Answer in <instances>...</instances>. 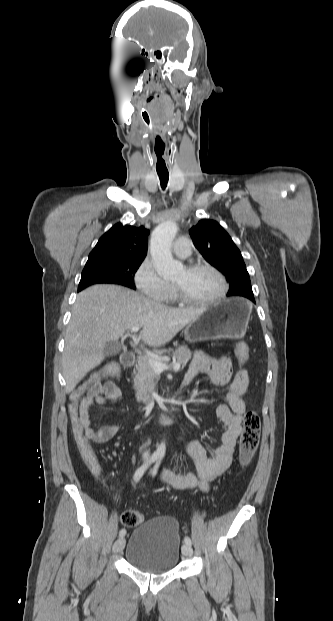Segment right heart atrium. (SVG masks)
<instances>
[{
    "instance_id": "1",
    "label": "right heart atrium",
    "mask_w": 333,
    "mask_h": 621,
    "mask_svg": "<svg viewBox=\"0 0 333 621\" xmlns=\"http://www.w3.org/2000/svg\"><path fill=\"white\" fill-rule=\"evenodd\" d=\"M134 281L137 289L154 301H165L171 291V285L161 278L149 260H144L138 267Z\"/></svg>"
}]
</instances>
